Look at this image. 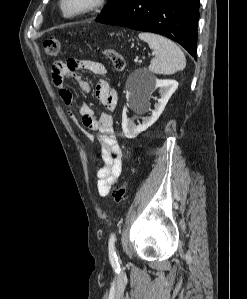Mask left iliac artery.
Returning a JSON list of instances; mask_svg holds the SVG:
<instances>
[{
  "instance_id": "1",
  "label": "left iliac artery",
  "mask_w": 247,
  "mask_h": 299,
  "mask_svg": "<svg viewBox=\"0 0 247 299\" xmlns=\"http://www.w3.org/2000/svg\"><path fill=\"white\" fill-rule=\"evenodd\" d=\"M115 240H116V236L115 233H113L109 238V245H108L109 259L113 266L118 265V258L115 250Z\"/></svg>"
}]
</instances>
